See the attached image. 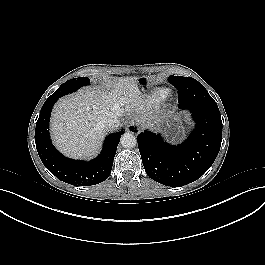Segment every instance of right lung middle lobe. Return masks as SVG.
<instances>
[{"label":"right lung middle lobe","instance_id":"dd1d6c3e","mask_svg":"<svg viewBox=\"0 0 265 265\" xmlns=\"http://www.w3.org/2000/svg\"><path fill=\"white\" fill-rule=\"evenodd\" d=\"M89 83V78L87 77L70 79L63 83L51 96L48 97V99H58L66 94L78 90L82 86L88 85Z\"/></svg>","mask_w":265,"mask_h":265}]
</instances>
